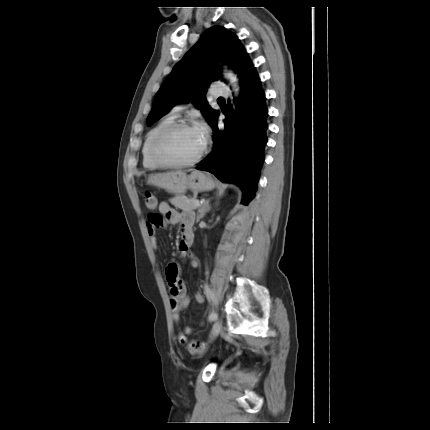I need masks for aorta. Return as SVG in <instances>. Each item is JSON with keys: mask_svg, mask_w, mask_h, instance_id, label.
Here are the masks:
<instances>
[{"mask_svg": "<svg viewBox=\"0 0 430 430\" xmlns=\"http://www.w3.org/2000/svg\"><path fill=\"white\" fill-rule=\"evenodd\" d=\"M224 76L229 81V83L231 84L234 92L237 94L239 92V89H240L239 83H238L239 79H238L237 74H235L232 70H228V71L225 70Z\"/></svg>", "mask_w": 430, "mask_h": 430, "instance_id": "aorta-1", "label": "aorta"}]
</instances>
